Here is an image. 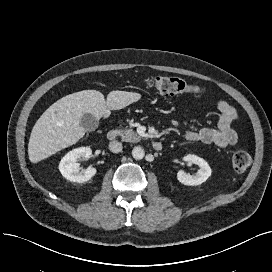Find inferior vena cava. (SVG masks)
<instances>
[{
	"instance_id": "602c4592",
	"label": "inferior vena cava",
	"mask_w": 272,
	"mask_h": 272,
	"mask_svg": "<svg viewBox=\"0 0 272 272\" xmlns=\"http://www.w3.org/2000/svg\"><path fill=\"white\" fill-rule=\"evenodd\" d=\"M122 143L121 142H118V141H111L109 143V150L113 153H119L122 151Z\"/></svg>"
}]
</instances>
